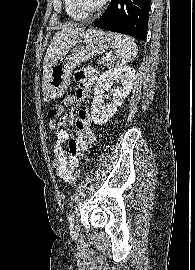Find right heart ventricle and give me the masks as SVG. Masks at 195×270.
I'll return each instance as SVG.
<instances>
[{
	"label": "right heart ventricle",
	"instance_id": "right-heart-ventricle-1",
	"mask_svg": "<svg viewBox=\"0 0 195 270\" xmlns=\"http://www.w3.org/2000/svg\"><path fill=\"white\" fill-rule=\"evenodd\" d=\"M65 10L67 15L76 21L84 20L85 18L77 14L70 5V0H64Z\"/></svg>",
	"mask_w": 195,
	"mask_h": 270
}]
</instances>
